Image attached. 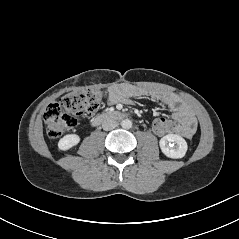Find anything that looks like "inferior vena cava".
I'll return each mask as SVG.
<instances>
[{"label":"inferior vena cava","instance_id":"inferior-vena-cava-1","mask_svg":"<svg viewBox=\"0 0 239 239\" xmlns=\"http://www.w3.org/2000/svg\"><path fill=\"white\" fill-rule=\"evenodd\" d=\"M117 122L111 118H106L103 122H102V128L105 131H110L113 130L117 127Z\"/></svg>","mask_w":239,"mask_h":239}]
</instances>
